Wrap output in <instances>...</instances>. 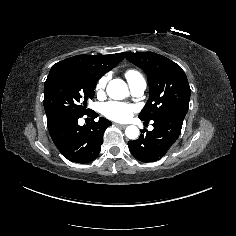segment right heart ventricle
Returning a JSON list of instances; mask_svg holds the SVG:
<instances>
[{"instance_id":"1","label":"right heart ventricle","mask_w":236,"mask_h":236,"mask_svg":"<svg viewBox=\"0 0 236 236\" xmlns=\"http://www.w3.org/2000/svg\"><path fill=\"white\" fill-rule=\"evenodd\" d=\"M141 75L137 72V71H135V70H128L127 72H126V77H127V79L130 81V80H132V79H134V78H137V77H140Z\"/></svg>"}]
</instances>
